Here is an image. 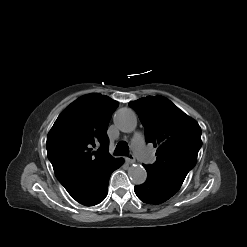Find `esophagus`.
Returning a JSON list of instances; mask_svg holds the SVG:
<instances>
[{
  "label": "esophagus",
  "mask_w": 247,
  "mask_h": 247,
  "mask_svg": "<svg viewBox=\"0 0 247 247\" xmlns=\"http://www.w3.org/2000/svg\"><path fill=\"white\" fill-rule=\"evenodd\" d=\"M126 162H127L128 164H133V163H135V158H134V156H133L132 154L128 155V156L126 157Z\"/></svg>",
  "instance_id": "obj_1"
}]
</instances>
